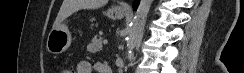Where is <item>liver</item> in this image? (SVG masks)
<instances>
[{
	"label": "liver",
	"instance_id": "6515ba94",
	"mask_svg": "<svg viewBox=\"0 0 244 73\" xmlns=\"http://www.w3.org/2000/svg\"><path fill=\"white\" fill-rule=\"evenodd\" d=\"M107 3V0H64L53 28L58 27L67 17L81 9H97Z\"/></svg>",
	"mask_w": 244,
	"mask_h": 73
}]
</instances>
